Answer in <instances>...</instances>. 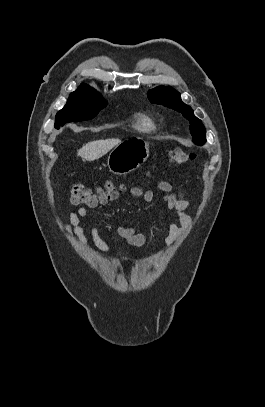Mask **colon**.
<instances>
[{"label": "colon", "mask_w": 265, "mask_h": 407, "mask_svg": "<svg viewBox=\"0 0 265 407\" xmlns=\"http://www.w3.org/2000/svg\"><path fill=\"white\" fill-rule=\"evenodd\" d=\"M193 158L194 154L178 148L169 152V160L174 164H186L193 160ZM118 192V185L111 180L98 187L74 183L69 186L68 197L74 205L95 206L98 203L113 199Z\"/></svg>", "instance_id": "1"}]
</instances>
